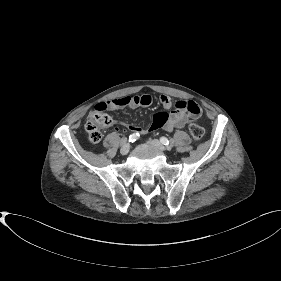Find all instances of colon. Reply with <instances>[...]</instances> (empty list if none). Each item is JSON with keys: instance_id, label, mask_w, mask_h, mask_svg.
<instances>
[{"instance_id": "5ec220e1", "label": "colon", "mask_w": 281, "mask_h": 281, "mask_svg": "<svg viewBox=\"0 0 281 281\" xmlns=\"http://www.w3.org/2000/svg\"><path fill=\"white\" fill-rule=\"evenodd\" d=\"M112 125L113 119L105 112V110H93L89 114L85 125L90 142L94 144L99 143L102 139L103 130L112 127ZM189 131L192 138L197 142L204 136L203 128L196 123H191L189 125Z\"/></svg>"}]
</instances>
